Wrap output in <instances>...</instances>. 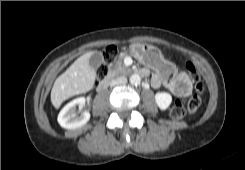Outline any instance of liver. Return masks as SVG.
Instances as JSON below:
<instances>
[{
  "label": "liver",
  "mask_w": 245,
  "mask_h": 170,
  "mask_svg": "<svg viewBox=\"0 0 245 170\" xmlns=\"http://www.w3.org/2000/svg\"><path fill=\"white\" fill-rule=\"evenodd\" d=\"M92 54L93 52H87L80 56L55 80L51 90V102L56 109L70 97L86 93L93 88L96 71L89 65Z\"/></svg>",
  "instance_id": "6515ba94"
}]
</instances>
